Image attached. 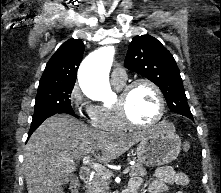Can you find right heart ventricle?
I'll return each mask as SVG.
<instances>
[{"instance_id":"right-heart-ventricle-1","label":"right heart ventricle","mask_w":221,"mask_h":193,"mask_svg":"<svg viewBox=\"0 0 221 193\" xmlns=\"http://www.w3.org/2000/svg\"><path fill=\"white\" fill-rule=\"evenodd\" d=\"M116 90L120 91L123 84L112 83ZM92 124L105 131L121 132L127 126L122 122L116 104L95 106L93 116L90 119Z\"/></svg>"}]
</instances>
